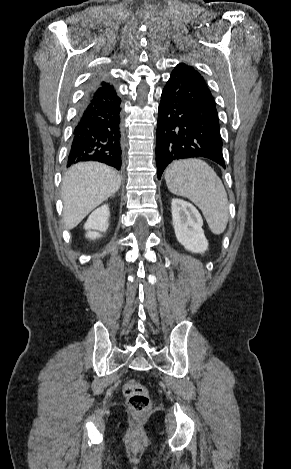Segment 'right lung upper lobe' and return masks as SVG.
<instances>
[{
  "mask_svg": "<svg viewBox=\"0 0 291 469\" xmlns=\"http://www.w3.org/2000/svg\"><path fill=\"white\" fill-rule=\"evenodd\" d=\"M96 85H97V86H100V87H106V86H109V84H108V83H106V82H104V81H102V82H97V83H96Z\"/></svg>",
  "mask_w": 291,
  "mask_h": 469,
  "instance_id": "1",
  "label": "right lung upper lobe"
}]
</instances>
